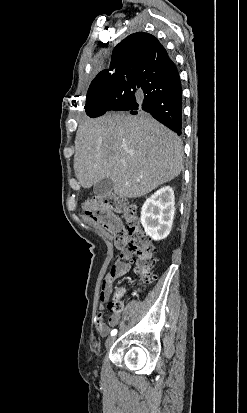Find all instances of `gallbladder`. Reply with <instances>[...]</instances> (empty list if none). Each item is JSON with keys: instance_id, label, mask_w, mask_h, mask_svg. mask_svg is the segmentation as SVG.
<instances>
[{"instance_id": "gallbladder-1", "label": "gallbladder", "mask_w": 247, "mask_h": 413, "mask_svg": "<svg viewBox=\"0 0 247 413\" xmlns=\"http://www.w3.org/2000/svg\"><path fill=\"white\" fill-rule=\"evenodd\" d=\"M93 190L96 196H101V198L111 196L113 190V180H111V178H102L100 182H96V184H94Z\"/></svg>"}]
</instances>
